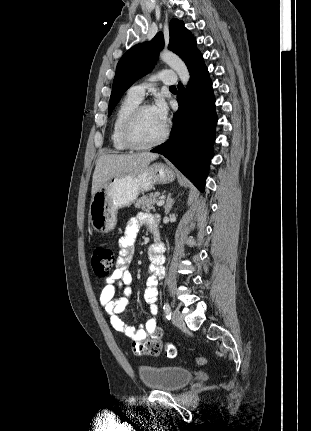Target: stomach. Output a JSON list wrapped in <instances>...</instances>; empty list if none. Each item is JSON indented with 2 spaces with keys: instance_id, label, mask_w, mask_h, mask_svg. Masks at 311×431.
<instances>
[{
  "instance_id": "0dacf381",
  "label": "stomach",
  "mask_w": 311,
  "mask_h": 431,
  "mask_svg": "<svg viewBox=\"0 0 311 431\" xmlns=\"http://www.w3.org/2000/svg\"><path fill=\"white\" fill-rule=\"evenodd\" d=\"M176 178L175 172L166 164H151L136 176H116L103 184L92 196L88 217L99 233H109L118 223V210L135 204L140 194L151 192L156 184H170Z\"/></svg>"
}]
</instances>
